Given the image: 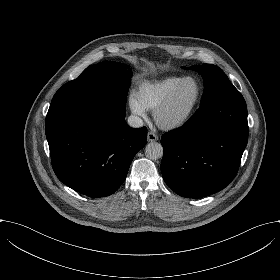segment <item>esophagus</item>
I'll return each instance as SVG.
<instances>
[{
    "mask_svg": "<svg viewBox=\"0 0 280 280\" xmlns=\"http://www.w3.org/2000/svg\"><path fill=\"white\" fill-rule=\"evenodd\" d=\"M158 140V136L152 132V131H149L148 134H147V141L148 142H155Z\"/></svg>",
    "mask_w": 280,
    "mask_h": 280,
    "instance_id": "obj_1",
    "label": "esophagus"
}]
</instances>
